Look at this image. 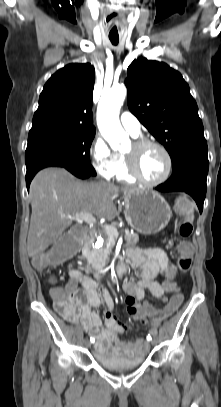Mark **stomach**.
<instances>
[{"mask_svg": "<svg viewBox=\"0 0 221 407\" xmlns=\"http://www.w3.org/2000/svg\"><path fill=\"white\" fill-rule=\"evenodd\" d=\"M125 219L139 233L150 235L163 230L172 212L167 201L151 190L138 189L124 193Z\"/></svg>", "mask_w": 221, "mask_h": 407, "instance_id": "stomach-1", "label": "stomach"}]
</instances>
